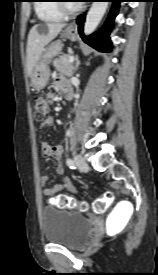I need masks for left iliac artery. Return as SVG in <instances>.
<instances>
[{"label": "left iliac artery", "instance_id": "obj_1", "mask_svg": "<svg viewBox=\"0 0 158 275\" xmlns=\"http://www.w3.org/2000/svg\"><path fill=\"white\" fill-rule=\"evenodd\" d=\"M67 165L69 166L70 169H75L74 162L72 159L68 158L66 161Z\"/></svg>", "mask_w": 158, "mask_h": 275}]
</instances>
